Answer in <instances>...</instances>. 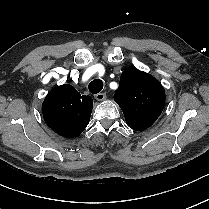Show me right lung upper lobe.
<instances>
[{
  "instance_id": "obj_1",
  "label": "right lung upper lobe",
  "mask_w": 209,
  "mask_h": 209,
  "mask_svg": "<svg viewBox=\"0 0 209 209\" xmlns=\"http://www.w3.org/2000/svg\"><path fill=\"white\" fill-rule=\"evenodd\" d=\"M93 100L69 84L53 88L42 104L47 125L65 138L78 137L90 121Z\"/></svg>"
}]
</instances>
